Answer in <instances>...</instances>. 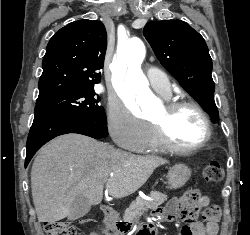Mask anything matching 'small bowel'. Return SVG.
<instances>
[{"label":"small bowel","instance_id":"small-bowel-1","mask_svg":"<svg viewBox=\"0 0 250 235\" xmlns=\"http://www.w3.org/2000/svg\"><path fill=\"white\" fill-rule=\"evenodd\" d=\"M210 203V198L197 190L186 191L180 198L171 199L164 207L154 210L155 220L171 221L177 216L183 219L180 235H217L218 225H204L196 219L197 213ZM89 235H98L90 233Z\"/></svg>","mask_w":250,"mask_h":235}]
</instances>
